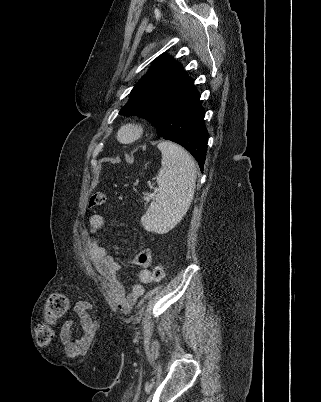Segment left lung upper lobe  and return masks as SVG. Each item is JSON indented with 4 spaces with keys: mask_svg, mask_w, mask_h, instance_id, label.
<instances>
[{
    "mask_svg": "<svg viewBox=\"0 0 321 402\" xmlns=\"http://www.w3.org/2000/svg\"><path fill=\"white\" fill-rule=\"evenodd\" d=\"M186 78L187 74L178 62L166 54L159 56L134 86L130 100L119 114L143 117L154 125L167 95Z\"/></svg>",
    "mask_w": 321,
    "mask_h": 402,
    "instance_id": "5c2ea615",
    "label": "left lung upper lobe"
}]
</instances>
